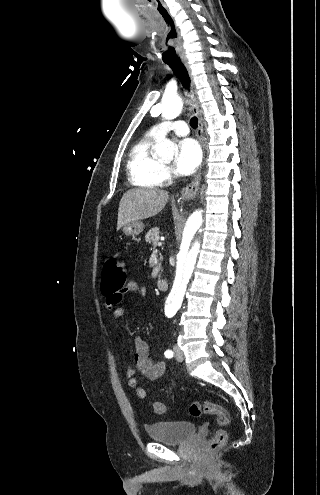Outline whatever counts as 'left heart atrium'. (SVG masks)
<instances>
[{"instance_id": "obj_1", "label": "left heart atrium", "mask_w": 320, "mask_h": 495, "mask_svg": "<svg viewBox=\"0 0 320 495\" xmlns=\"http://www.w3.org/2000/svg\"><path fill=\"white\" fill-rule=\"evenodd\" d=\"M201 150L193 139H184L179 143L174 170L182 176L191 175L201 163Z\"/></svg>"}]
</instances>
